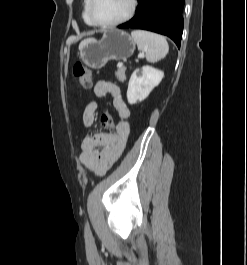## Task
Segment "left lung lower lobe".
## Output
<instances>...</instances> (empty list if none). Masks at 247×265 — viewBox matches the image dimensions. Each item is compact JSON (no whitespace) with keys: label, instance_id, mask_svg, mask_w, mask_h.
<instances>
[{"label":"left lung lower lobe","instance_id":"0a47b994","mask_svg":"<svg viewBox=\"0 0 247 265\" xmlns=\"http://www.w3.org/2000/svg\"><path fill=\"white\" fill-rule=\"evenodd\" d=\"M136 15L119 28L153 31L170 37L180 48L185 0H138Z\"/></svg>","mask_w":247,"mask_h":265}]
</instances>
